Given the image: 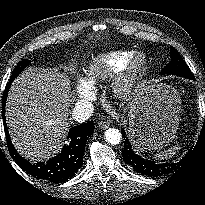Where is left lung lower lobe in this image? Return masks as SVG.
I'll use <instances>...</instances> for the list:
<instances>
[{"mask_svg": "<svg viewBox=\"0 0 205 205\" xmlns=\"http://www.w3.org/2000/svg\"><path fill=\"white\" fill-rule=\"evenodd\" d=\"M188 79L195 80L194 77ZM121 132L124 137V149L122 152L123 159L125 163L133 167L135 171L143 175L156 177L167 174L175 169L176 164H156L151 160L141 158L133 151L131 143L126 138L125 130L121 129Z\"/></svg>", "mask_w": 205, "mask_h": 205, "instance_id": "left-lung-lower-lobe-1", "label": "left lung lower lobe"}]
</instances>
